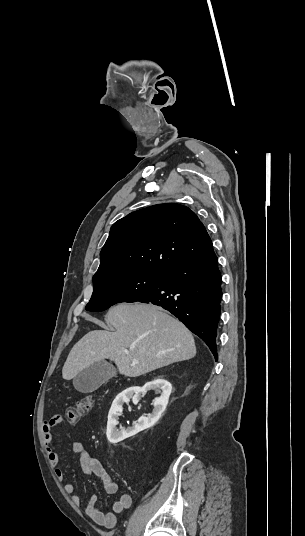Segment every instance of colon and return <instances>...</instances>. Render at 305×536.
<instances>
[{"label":"colon","mask_w":305,"mask_h":536,"mask_svg":"<svg viewBox=\"0 0 305 536\" xmlns=\"http://www.w3.org/2000/svg\"><path fill=\"white\" fill-rule=\"evenodd\" d=\"M95 402V396L92 394L86 395L78 399L74 404L66 408V420L70 424H75L84 414L89 412Z\"/></svg>","instance_id":"obj_1"}]
</instances>
